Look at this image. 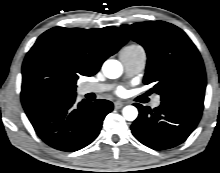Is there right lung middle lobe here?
Returning <instances> with one entry per match:
<instances>
[{
    "label": "right lung middle lobe",
    "mask_w": 220,
    "mask_h": 173,
    "mask_svg": "<svg viewBox=\"0 0 220 173\" xmlns=\"http://www.w3.org/2000/svg\"><path fill=\"white\" fill-rule=\"evenodd\" d=\"M75 90H76V83L71 86V88H70L68 93L69 94H75Z\"/></svg>",
    "instance_id": "right-lung-middle-lobe-1"
}]
</instances>
